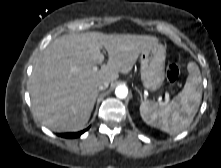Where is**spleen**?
<instances>
[{
    "mask_svg": "<svg viewBox=\"0 0 221 168\" xmlns=\"http://www.w3.org/2000/svg\"><path fill=\"white\" fill-rule=\"evenodd\" d=\"M189 75L183 90L168 105L143 101L140 115L150 126L170 135L184 131L193 121L202 98V78L194 62L188 64Z\"/></svg>",
    "mask_w": 221,
    "mask_h": 168,
    "instance_id": "spleen-1",
    "label": "spleen"
}]
</instances>
